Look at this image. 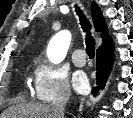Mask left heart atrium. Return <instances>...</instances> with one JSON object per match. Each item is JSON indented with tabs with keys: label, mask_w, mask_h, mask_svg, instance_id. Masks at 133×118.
<instances>
[{
	"label": "left heart atrium",
	"mask_w": 133,
	"mask_h": 118,
	"mask_svg": "<svg viewBox=\"0 0 133 118\" xmlns=\"http://www.w3.org/2000/svg\"><path fill=\"white\" fill-rule=\"evenodd\" d=\"M74 89L79 93H84L88 89L89 83L87 76L83 72H76L73 76Z\"/></svg>",
	"instance_id": "1"
}]
</instances>
